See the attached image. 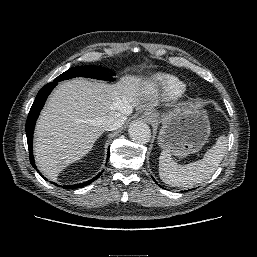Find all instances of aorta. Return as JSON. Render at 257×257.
I'll return each instance as SVG.
<instances>
[{
	"mask_svg": "<svg viewBox=\"0 0 257 257\" xmlns=\"http://www.w3.org/2000/svg\"><path fill=\"white\" fill-rule=\"evenodd\" d=\"M128 133L130 138L137 143L146 144L150 141L151 131L149 126L139 120L132 121Z\"/></svg>",
	"mask_w": 257,
	"mask_h": 257,
	"instance_id": "762f6f07",
	"label": "aorta"
}]
</instances>
